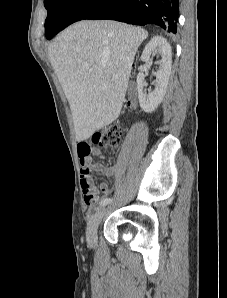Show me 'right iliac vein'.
I'll return each mask as SVG.
<instances>
[{
	"instance_id": "obj_1",
	"label": "right iliac vein",
	"mask_w": 227,
	"mask_h": 298,
	"mask_svg": "<svg viewBox=\"0 0 227 298\" xmlns=\"http://www.w3.org/2000/svg\"><path fill=\"white\" fill-rule=\"evenodd\" d=\"M105 211V208L99 209L88 222L86 229V239L88 244L91 246L95 245L97 242V230L104 217Z\"/></svg>"
}]
</instances>
